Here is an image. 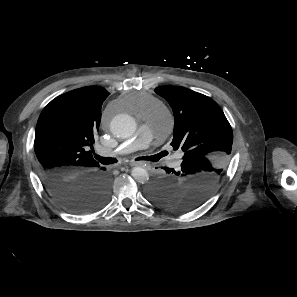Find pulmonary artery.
Here are the masks:
<instances>
[{"mask_svg": "<svg viewBox=\"0 0 297 297\" xmlns=\"http://www.w3.org/2000/svg\"><path fill=\"white\" fill-rule=\"evenodd\" d=\"M164 122L168 125L172 123V116L167 111L164 112V117L150 119L143 124L135 136L117 147L116 152L126 154L138 149H151L152 140L162 132Z\"/></svg>", "mask_w": 297, "mask_h": 297, "instance_id": "pulmonary-artery-1", "label": "pulmonary artery"}]
</instances>
